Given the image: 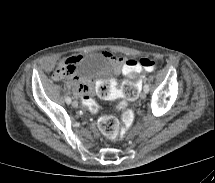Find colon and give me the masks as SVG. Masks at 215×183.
Segmentation results:
<instances>
[{
    "instance_id": "1",
    "label": "colon",
    "mask_w": 215,
    "mask_h": 183,
    "mask_svg": "<svg viewBox=\"0 0 215 183\" xmlns=\"http://www.w3.org/2000/svg\"><path fill=\"white\" fill-rule=\"evenodd\" d=\"M142 68L143 70L152 71L157 67V63L151 59L143 58L140 60H129L124 67V72L127 75V79L122 85V96L123 99L120 100L116 106L115 110L121 115L120 121L111 115H104L99 119V129L100 131L109 138L118 137L120 130L128 128L132 125L134 120V113L128 107L127 102L133 101L137 98L140 84L137 82V68ZM71 72L68 67L62 65L57 69V76L63 77L69 75ZM83 105L88 108L91 112H97L99 110V105L93 100L92 96L85 93L82 96Z\"/></svg>"
}]
</instances>
